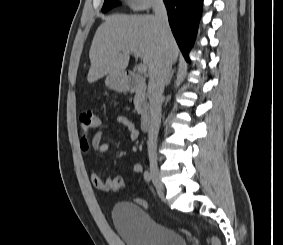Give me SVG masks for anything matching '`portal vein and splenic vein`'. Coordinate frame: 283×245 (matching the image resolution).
Here are the masks:
<instances>
[{
  "mask_svg": "<svg viewBox=\"0 0 283 245\" xmlns=\"http://www.w3.org/2000/svg\"><path fill=\"white\" fill-rule=\"evenodd\" d=\"M128 53H133L136 57H139V54L133 51H130ZM137 70L139 73H146L147 71V65L145 63H139L137 65Z\"/></svg>",
  "mask_w": 283,
  "mask_h": 245,
  "instance_id": "18ae733b",
  "label": "portal vein and splenic vein"
}]
</instances>
